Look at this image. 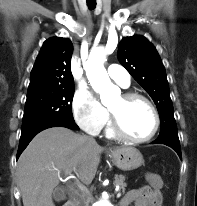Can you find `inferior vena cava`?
<instances>
[{"mask_svg": "<svg viewBox=\"0 0 197 206\" xmlns=\"http://www.w3.org/2000/svg\"><path fill=\"white\" fill-rule=\"evenodd\" d=\"M89 139H90L91 141L95 142V139H93V138H90V137H89Z\"/></svg>", "mask_w": 197, "mask_h": 206, "instance_id": "obj_1", "label": "inferior vena cava"}]
</instances>
